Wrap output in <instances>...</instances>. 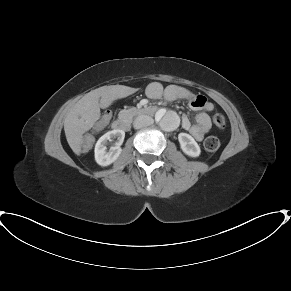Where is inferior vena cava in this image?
Returning a JSON list of instances; mask_svg holds the SVG:
<instances>
[{"label": "inferior vena cava", "mask_w": 291, "mask_h": 291, "mask_svg": "<svg viewBox=\"0 0 291 291\" xmlns=\"http://www.w3.org/2000/svg\"><path fill=\"white\" fill-rule=\"evenodd\" d=\"M154 120L148 115H139L134 120L133 126L135 129H140L153 124Z\"/></svg>", "instance_id": "obj_1"}]
</instances>
